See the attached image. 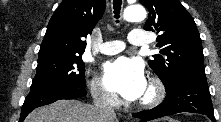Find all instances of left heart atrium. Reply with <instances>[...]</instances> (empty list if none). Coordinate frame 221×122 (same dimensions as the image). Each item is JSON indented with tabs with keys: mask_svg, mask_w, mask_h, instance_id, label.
<instances>
[{
	"mask_svg": "<svg viewBox=\"0 0 221 122\" xmlns=\"http://www.w3.org/2000/svg\"><path fill=\"white\" fill-rule=\"evenodd\" d=\"M103 81L107 89L129 101L141 98L147 89L141 62L125 56L104 64Z\"/></svg>",
	"mask_w": 221,
	"mask_h": 122,
	"instance_id": "obj_1",
	"label": "left heart atrium"
}]
</instances>
